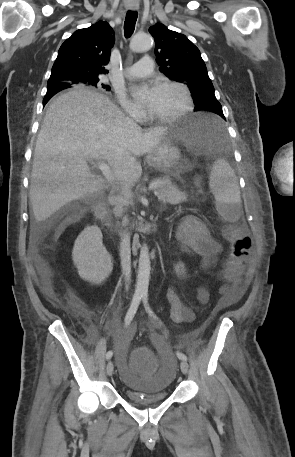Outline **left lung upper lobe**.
<instances>
[{
  "instance_id": "obj_1",
  "label": "left lung upper lobe",
  "mask_w": 295,
  "mask_h": 457,
  "mask_svg": "<svg viewBox=\"0 0 295 457\" xmlns=\"http://www.w3.org/2000/svg\"><path fill=\"white\" fill-rule=\"evenodd\" d=\"M149 32L156 43L160 71L169 79L188 86L197 110L221 107L199 49L185 35L171 31L163 24L151 26Z\"/></svg>"
}]
</instances>
